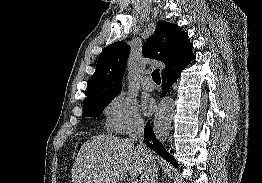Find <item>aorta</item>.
Returning a JSON list of instances; mask_svg holds the SVG:
<instances>
[{"label": "aorta", "mask_w": 262, "mask_h": 183, "mask_svg": "<svg viewBox=\"0 0 262 183\" xmlns=\"http://www.w3.org/2000/svg\"><path fill=\"white\" fill-rule=\"evenodd\" d=\"M174 106V100L170 97H165L158 105L154 118V133L161 142H164L169 136Z\"/></svg>", "instance_id": "1"}]
</instances>
